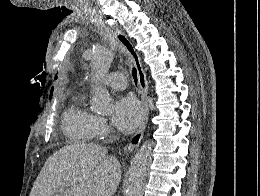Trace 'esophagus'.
Returning <instances> with one entry per match:
<instances>
[{
    "mask_svg": "<svg viewBox=\"0 0 260 196\" xmlns=\"http://www.w3.org/2000/svg\"><path fill=\"white\" fill-rule=\"evenodd\" d=\"M117 38H118L119 42L121 43V45L123 46V48L127 51V53L130 55V57L133 60V63L137 70L138 84L142 90L141 102H142V106H143V117H142V121H141V124H140L138 130L136 131L134 136H132V138L127 143V145L124 146V148H123V152L128 154V153H132V151L135 148H137V146L140 144V141L143 138V134H144V131H145V128L147 125L148 116H149V107H148V99H147L148 83H147L145 71L142 66L141 58L138 55L137 51L135 50L131 41L128 39V37L125 35V33L122 31L117 33Z\"/></svg>",
    "mask_w": 260,
    "mask_h": 196,
    "instance_id": "34e87169",
    "label": "esophagus"
}]
</instances>
